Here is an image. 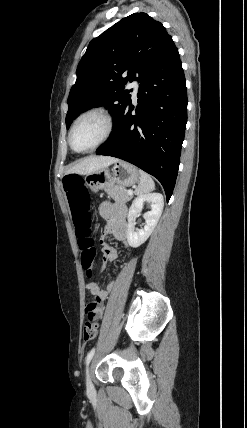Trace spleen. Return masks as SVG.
Instances as JSON below:
<instances>
[{"instance_id":"1","label":"spleen","mask_w":247,"mask_h":428,"mask_svg":"<svg viewBox=\"0 0 247 428\" xmlns=\"http://www.w3.org/2000/svg\"><path fill=\"white\" fill-rule=\"evenodd\" d=\"M139 174L140 184L135 190L136 195H143L153 191L155 189V184L151 176L143 170H139Z\"/></svg>"}]
</instances>
